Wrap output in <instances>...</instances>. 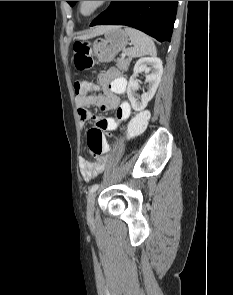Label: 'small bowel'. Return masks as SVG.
<instances>
[{"label": "small bowel", "instance_id": "small-bowel-1", "mask_svg": "<svg viewBox=\"0 0 233 295\" xmlns=\"http://www.w3.org/2000/svg\"><path fill=\"white\" fill-rule=\"evenodd\" d=\"M100 83L104 88L103 95H77L75 98L78 107L80 122L85 124L94 121L97 128L102 131H113L118 125L127 120L131 115V106L128 102L121 101L120 95L127 90V80L115 69H109L100 77ZM96 106L101 112L116 111V118L96 117L88 108ZM105 156L98 157L94 161L86 158L79 159L80 173L85 181H90L99 176L106 165Z\"/></svg>", "mask_w": 233, "mask_h": 295}]
</instances>
